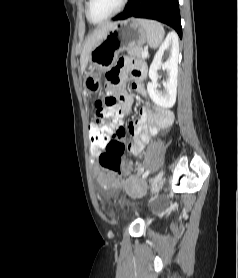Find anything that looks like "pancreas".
<instances>
[{
    "label": "pancreas",
    "mask_w": 238,
    "mask_h": 278,
    "mask_svg": "<svg viewBox=\"0 0 238 278\" xmlns=\"http://www.w3.org/2000/svg\"><path fill=\"white\" fill-rule=\"evenodd\" d=\"M127 51H128V54L131 55V56H134V57H137V58H140V59H145V58L142 56V53H143V51H144L142 47L130 46V47H128Z\"/></svg>",
    "instance_id": "1"
}]
</instances>
